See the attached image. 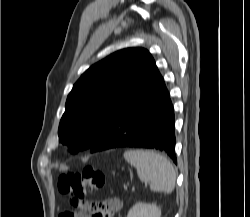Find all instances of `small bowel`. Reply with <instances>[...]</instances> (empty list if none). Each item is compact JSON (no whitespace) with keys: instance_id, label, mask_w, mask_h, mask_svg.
<instances>
[{"instance_id":"obj_1","label":"small bowel","mask_w":250,"mask_h":217,"mask_svg":"<svg viewBox=\"0 0 250 217\" xmlns=\"http://www.w3.org/2000/svg\"><path fill=\"white\" fill-rule=\"evenodd\" d=\"M101 204V211H102V217H114V215L119 212L122 207L123 203L119 198H110L108 200H105L100 203ZM70 217H88L87 215L81 214V213H74L70 215Z\"/></svg>"}]
</instances>
